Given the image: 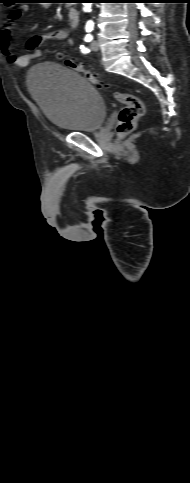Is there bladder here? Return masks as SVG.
Wrapping results in <instances>:
<instances>
[{
    "mask_svg": "<svg viewBox=\"0 0 190 483\" xmlns=\"http://www.w3.org/2000/svg\"><path fill=\"white\" fill-rule=\"evenodd\" d=\"M28 89L47 120L63 130H98L106 117V104L82 75L54 62L34 66L27 76Z\"/></svg>",
    "mask_w": 190,
    "mask_h": 483,
    "instance_id": "obj_1",
    "label": "bladder"
}]
</instances>
